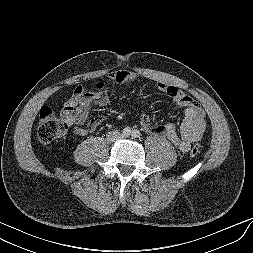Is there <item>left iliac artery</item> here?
<instances>
[{"label":"left iliac artery","mask_w":253,"mask_h":253,"mask_svg":"<svg viewBox=\"0 0 253 253\" xmlns=\"http://www.w3.org/2000/svg\"><path fill=\"white\" fill-rule=\"evenodd\" d=\"M140 135H141V133H140L139 130L134 129V130L132 131V137H133V138H139Z\"/></svg>","instance_id":"1"}]
</instances>
